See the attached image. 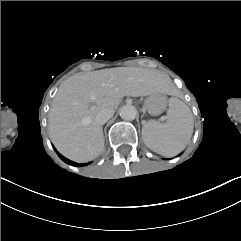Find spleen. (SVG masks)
<instances>
[{"mask_svg":"<svg viewBox=\"0 0 241 241\" xmlns=\"http://www.w3.org/2000/svg\"><path fill=\"white\" fill-rule=\"evenodd\" d=\"M193 128L194 120L189 107L180 99L171 97L167 122L150 120L143 124L142 139L150 150L163 156H173L184 150Z\"/></svg>","mask_w":241,"mask_h":241,"instance_id":"spleen-1","label":"spleen"}]
</instances>
